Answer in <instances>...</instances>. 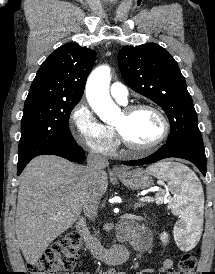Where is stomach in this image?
<instances>
[{
  "instance_id": "obj_1",
  "label": "stomach",
  "mask_w": 215,
  "mask_h": 274,
  "mask_svg": "<svg viewBox=\"0 0 215 274\" xmlns=\"http://www.w3.org/2000/svg\"><path fill=\"white\" fill-rule=\"evenodd\" d=\"M118 178L124 185L134 190L147 189L153 185L150 173L142 168L125 171L119 174Z\"/></svg>"
}]
</instances>
